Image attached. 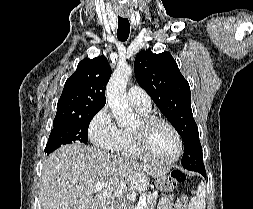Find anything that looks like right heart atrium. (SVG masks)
Instances as JSON below:
<instances>
[{"label":"right heart atrium","mask_w":253,"mask_h":209,"mask_svg":"<svg viewBox=\"0 0 253 209\" xmlns=\"http://www.w3.org/2000/svg\"><path fill=\"white\" fill-rule=\"evenodd\" d=\"M88 134L91 142L104 150H116L122 141V130L116 125L106 107L94 115L89 124Z\"/></svg>","instance_id":"d8ad5b80"}]
</instances>
